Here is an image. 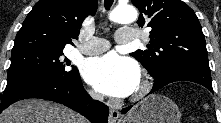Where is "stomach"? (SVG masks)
Instances as JSON below:
<instances>
[{
    "label": "stomach",
    "mask_w": 221,
    "mask_h": 123,
    "mask_svg": "<svg viewBox=\"0 0 221 123\" xmlns=\"http://www.w3.org/2000/svg\"><path fill=\"white\" fill-rule=\"evenodd\" d=\"M179 108L169 98L153 94L133 106L122 123H180Z\"/></svg>",
    "instance_id": "obj_1"
}]
</instances>
